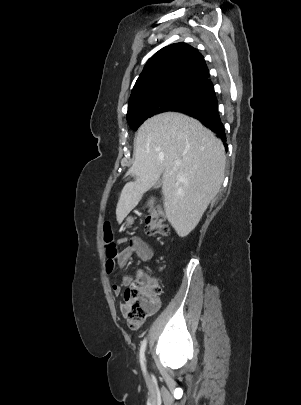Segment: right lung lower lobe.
<instances>
[{"label": "right lung lower lobe", "instance_id": "obj_1", "mask_svg": "<svg viewBox=\"0 0 301 405\" xmlns=\"http://www.w3.org/2000/svg\"><path fill=\"white\" fill-rule=\"evenodd\" d=\"M178 112L198 119L205 127L213 131L219 138H221V140L224 142L225 148L228 149V146L225 144V128L220 119L216 97H214V99L207 104L183 108Z\"/></svg>", "mask_w": 301, "mask_h": 405}]
</instances>
